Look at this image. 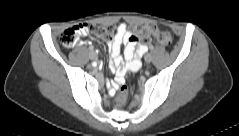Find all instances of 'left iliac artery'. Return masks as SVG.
<instances>
[{
  "mask_svg": "<svg viewBox=\"0 0 239 136\" xmlns=\"http://www.w3.org/2000/svg\"><path fill=\"white\" fill-rule=\"evenodd\" d=\"M153 49H154V45H150V50H153Z\"/></svg>",
  "mask_w": 239,
  "mask_h": 136,
  "instance_id": "44dca946",
  "label": "left iliac artery"
}]
</instances>
